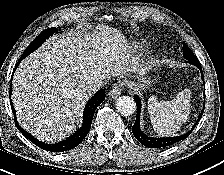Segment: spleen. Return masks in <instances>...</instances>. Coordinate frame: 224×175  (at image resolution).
<instances>
[{"mask_svg":"<svg viewBox=\"0 0 224 175\" xmlns=\"http://www.w3.org/2000/svg\"><path fill=\"white\" fill-rule=\"evenodd\" d=\"M190 96V90L185 89L171 101H158L155 95L149 98L148 113L156 133L171 136L180 130L190 114Z\"/></svg>","mask_w":224,"mask_h":175,"instance_id":"1","label":"spleen"}]
</instances>
